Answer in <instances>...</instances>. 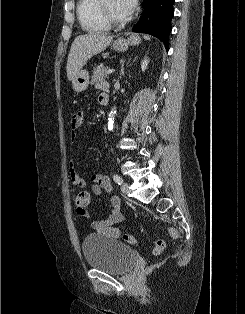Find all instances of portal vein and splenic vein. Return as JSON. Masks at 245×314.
Listing matches in <instances>:
<instances>
[{
    "mask_svg": "<svg viewBox=\"0 0 245 314\" xmlns=\"http://www.w3.org/2000/svg\"><path fill=\"white\" fill-rule=\"evenodd\" d=\"M115 72V69H109L107 72H106V74H112V73H114Z\"/></svg>",
    "mask_w": 245,
    "mask_h": 314,
    "instance_id": "obj_1",
    "label": "portal vein and splenic vein"
}]
</instances>
